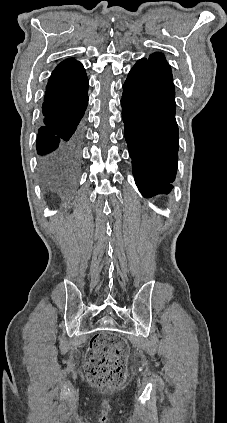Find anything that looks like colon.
<instances>
[{
    "mask_svg": "<svg viewBox=\"0 0 227 423\" xmlns=\"http://www.w3.org/2000/svg\"><path fill=\"white\" fill-rule=\"evenodd\" d=\"M127 343L115 333L95 335L87 352L86 370L90 382L101 388L121 385L126 378Z\"/></svg>",
    "mask_w": 227,
    "mask_h": 423,
    "instance_id": "obj_1",
    "label": "colon"
}]
</instances>
